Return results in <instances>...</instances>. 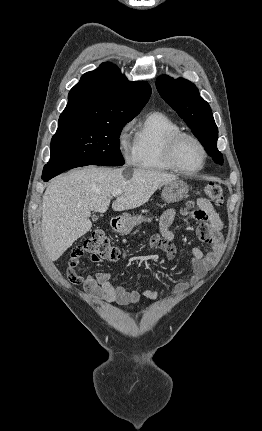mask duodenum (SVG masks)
<instances>
[{
	"mask_svg": "<svg viewBox=\"0 0 262 431\" xmlns=\"http://www.w3.org/2000/svg\"><path fill=\"white\" fill-rule=\"evenodd\" d=\"M111 223L116 229H119L122 226V220L119 217H112Z\"/></svg>",
	"mask_w": 262,
	"mask_h": 431,
	"instance_id": "duodenum-1",
	"label": "duodenum"
}]
</instances>
